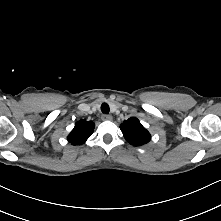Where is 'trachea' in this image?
<instances>
[{"label": "trachea", "instance_id": "3493384b", "mask_svg": "<svg viewBox=\"0 0 221 221\" xmlns=\"http://www.w3.org/2000/svg\"><path fill=\"white\" fill-rule=\"evenodd\" d=\"M109 110H110V108H109V105H108L107 103H103V104L101 105V111H102V113L108 114V113H109Z\"/></svg>", "mask_w": 221, "mask_h": 221}]
</instances>
